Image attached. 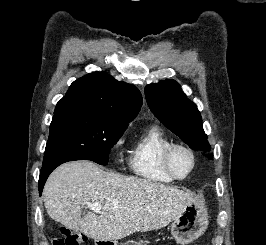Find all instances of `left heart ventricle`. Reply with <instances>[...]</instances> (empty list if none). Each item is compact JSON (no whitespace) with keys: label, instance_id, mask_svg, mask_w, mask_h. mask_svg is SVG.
<instances>
[{"label":"left heart ventricle","instance_id":"b2bd125f","mask_svg":"<svg viewBox=\"0 0 266 245\" xmlns=\"http://www.w3.org/2000/svg\"><path fill=\"white\" fill-rule=\"evenodd\" d=\"M172 165L175 173L183 177L192 167V158L186 151L176 150L172 156Z\"/></svg>","mask_w":266,"mask_h":245}]
</instances>
